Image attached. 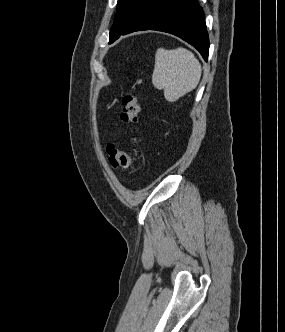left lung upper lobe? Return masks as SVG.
Here are the masks:
<instances>
[{
    "instance_id": "5c2ea615",
    "label": "left lung upper lobe",
    "mask_w": 285,
    "mask_h": 332,
    "mask_svg": "<svg viewBox=\"0 0 285 332\" xmlns=\"http://www.w3.org/2000/svg\"><path fill=\"white\" fill-rule=\"evenodd\" d=\"M152 0H118L114 25L111 27L109 43L126 29Z\"/></svg>"
}]
</instances>
